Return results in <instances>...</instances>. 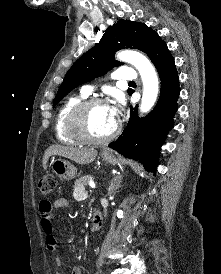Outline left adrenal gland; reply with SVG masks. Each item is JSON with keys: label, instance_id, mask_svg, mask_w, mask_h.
Masks as SVG:
<instances>
[{"label": "left adrenal gland", "instance_id": "obj_1", "mask_svg": "<svg viewBox=\"0 0 221 274\" xmlns=\"http://www.w3.org/2000/svg\"><path fill=\"white\" fill-rule=\"evenodd\" d=\"M123 176H117L114 181L111 182L110 186L108 187V195L114 193L117 189L121 187Z\"/></svg>", "mask_w": 221, "mask_h": 274}]
</instances>
